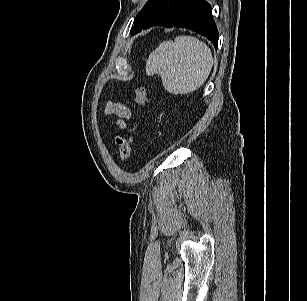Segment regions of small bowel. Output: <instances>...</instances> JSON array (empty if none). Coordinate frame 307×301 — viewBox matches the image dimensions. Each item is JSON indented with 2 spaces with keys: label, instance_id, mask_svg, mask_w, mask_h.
Segmentation results:
<instances>
[{
  "label": "small bowel",
  "instance_id": "small-bowel-1",
  "mask_svg": "<svg viewBox=\"0 0 307 301\" xmlns=\"http://www.w3.org/2000/svg\"><path fill=\"white\" fill-rule=\"evenodd\" d=\"M106 114L115 115L119 118L120 126H124V120L131 117L130 110L122 103L119 102H108L105 106Z\"/></svg>",
  "mask_w": 307,
  "mask_h": 301
}]
</instances>
